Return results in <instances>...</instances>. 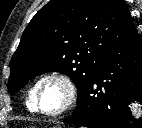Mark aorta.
Returning <instances> with one entry per match:
<instances>
[{
    "label": "aorta",
    "instance_id": "762f6f07",
    "mask_svg": "<svg viewBox=\"0 0 142 128\" xmlns=\"http://www.w3.org/2000/svg\"><path fill=\"white\" fill-rule=\"evenodd\" d=\"M134 112L137 113L138 112V108L137 106L134 107Z\"/></svg>",
    "mask_w": 142,
    "mask_h": 128
}]
</instances>
